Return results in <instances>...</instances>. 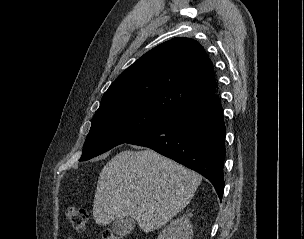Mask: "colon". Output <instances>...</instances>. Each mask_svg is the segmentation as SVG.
<instances>
[{"label":"colon","mask_w":304,"mask_h":239,"mask_svg":"<svg viewBox=\"0 0 304 239\" xmlns=\"http://www.w3.org/2000/svg\"><path fill=\"white\" fill-rule=\"evenodd\" d=\"M66 216L75 231L83 232L86 230L89 220L88 212L86 209L82 207H69L67 209ZM102 239H124V238L118 236L111 230H105L102 233Z\"/></svg>","instance_id":"1"}]
</instances>
